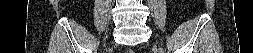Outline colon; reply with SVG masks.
<instances>
[{
    "mask_svg": "<svg viewBox=\"0 0 253 53\" xmlns=\"http://www.w3.org/2000/svg\"><path fill=\"white\" fill-rule=\"evenodd\" d=\"M129 53H132V51L130 50V51H128Z\"/></svg>",
    "mask_w": 253,
    "mask_h": 53,
    "instance_id": "colon-1",
    "label": "colon"
}]
</instances>
